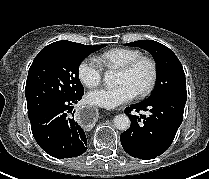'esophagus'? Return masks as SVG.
<instances>
[{"instance_id":"34e87169","label":"esophagus","mask_w":209,"mask_h":179,"mask_svg":"<svg viewBox=\"0 0 209 179\" xmlns=\"http://www.w3.org/2000/svg\"><path fill=\"white\" fill-rule=\"evenodd\" d=\"M75 119L81 127L89 128L97 122L98 114L92 106H81L76 111Z\"/></svg>"}]
</instances>
